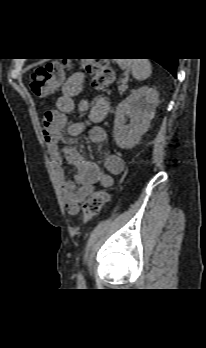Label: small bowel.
<instances>
[{"label":"small bowel","mask_w":206,"mask_h":348,"mask_svg":"<svg viewBox=\"0 0 206 348\" xmlns=\"http://www.w3.org/2000/svg\"><path fill=\"white\" fill-rule=\"evenodd\" d=\"M85 80L86 75L82 72L70 76L63 85L61 95L56 99L55 108L46 111L43 116L42 135L49 150L55 177L63 191L66 208L71 215L79 212L82 201L94 190L96 184L103 187L113 186V176L121 174L125 168L124 160L115 153L105 155L106 172H103L76 149L61 147L62 131L65 127L69 136H78L87 129L92 142H106V132L100 123L107 115V101L99 98L90 106L86 99L75 100L81 93ZM74 111L88 112L87 118L68 123L66 115ZM63 162L73 168L75 182L66 178Z\"/></svg>","instance_id":"small-bowel-1"}]
</instances>
